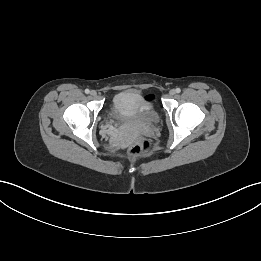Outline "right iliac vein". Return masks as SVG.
<instances>
[{"label":"right iliac vein","mask_w":261,"mask_h":261,"mask_svg":"<svg viewBox=\"0 0 261 261\" xmlns=\"http://www.w3.org/2000/svg\"><path fill=\"white\" fill-rule=\"evenodd\" d=\"M90 95L93 96V97H95V96L97 95V92H96L95 90H92V91L90 92Z\"/></svg>","instance_id":"right-iliac-vein-1"}]
</instances>
